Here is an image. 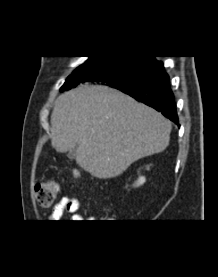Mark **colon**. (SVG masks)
<instances>
[{"instance_id":"1","label":"colon","mask_w":218,"mask_h":277,"mask_svg":"<svg viewBox=\"0 0 218 277\" xmlns=\"http://www.w3.org/2000/svg\"><path fill=\"white\" fill-rule=\"evenodd\" d=\"M72 175L74 179L79 178V173L77 171H73ZM59 190V184L54 180L49 179L38 182L35 186L38 204L42 207L51 206L57 199Z\"/></svg>"}]
</instances>
